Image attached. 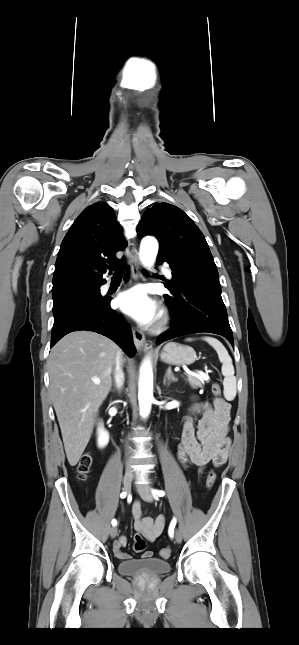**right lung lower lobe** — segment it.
<instances>
[{
	"label": "right lung lower lobe",
	"instance_id": "98d812e1",
	"mask_svg": "<svg viewBox=\"0 0 299 645\" xmlns=\"http://www.w3.org/2000/svg\"><path fill=\"white\" fill-rule=\"evenodd\" d=\"M110 301L111 298L106 297L99 304L79 307L54 321L50 348L70 332L88 330L110 338L128 355L134 356L136 350L130 326L111 309Z\"/></svg>",
	"mask_w": 299,
	"mask_h": 645
}]
</instances>
